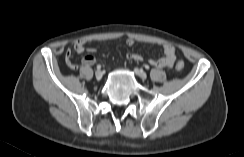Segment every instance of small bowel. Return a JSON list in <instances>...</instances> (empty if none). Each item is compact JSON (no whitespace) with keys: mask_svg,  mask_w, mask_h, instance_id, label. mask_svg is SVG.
<instances>
[{"mask_svg":"<svg viewBox=\"0 0 244 157\" xmlns=\"http://www.w3.org/2000/svg\"><path fill=\"white\" fill-rule=\"evenodd\" d=\"M135 40L133 38L126 39L127 46H133ZM87 41L85 39H79L75 41L71 48L66 51V64L71 69H77V65L73 63L72 58L74 54H80L84 52L86 48ZM162 51L164 56L159 59H150L149 64L157 68H171L176 60V49L170 44H163ZM94 48H88V52H94ZM128 60L141 61L142 57L136 53H128ZM96 62L93 55L88 54L83 57L82 63L86 66H91Z\"/></svg>","mask_w":244,"mask_h":157,"instance_id":"obj_1","label":"small bowel"}]
</instances>
